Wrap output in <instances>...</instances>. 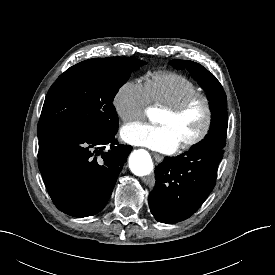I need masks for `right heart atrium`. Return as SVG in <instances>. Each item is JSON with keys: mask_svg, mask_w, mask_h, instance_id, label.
Returning <instances> with one entry per match:
<instances>
[{"mask_svg": "<svg viewBox=\"0 0 275 275\" xmlns=\"http://www.w3.org/2000/svg\"><path fill=\"white\" fill-rule=\"evenodd\" d=\"M149 103L145 85L137 80L124 82L117 89L112 100L116 114L125 123L142 118Z\"/></svg>", "mask_w": 275, "mask_h": 275, "instance_id": "obj_1", "label": "right heart atrium"}]
</instances>
